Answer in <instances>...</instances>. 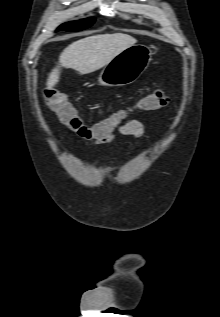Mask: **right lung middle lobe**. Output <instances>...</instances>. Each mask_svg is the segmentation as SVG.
Segmentation results:
<instances>
[{"instance_id":"1","label":"right lung middle lobe","mask_w":220,"mask_h":317,"mask_svg":"<svg viewBox=\"0 0 220 317\" xmlns=\"http://www.w3.org/2000/svg\"><path fill=\"white\" fill-rule=\"evenodd\" d=\"M95 21V18H87L79 21H73L62 24L57 30H65L69 32H75L84 30L88 27H90Z\"/></svg>"}]
</instances>
